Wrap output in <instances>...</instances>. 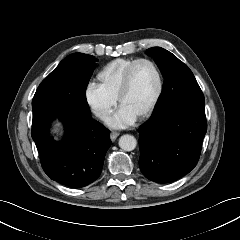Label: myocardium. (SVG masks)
I'll return each instance as SVG.
<instances>
[{
    "mask_svg": "<svg viewBox=\"0 0 240 240\" xmlns=\"http://www.w3.org/2000/svg\"><path fill=\"white\" fill-rule=\"evenodd\" d=\"M148 63L152 66V68L154 69V72L156 74L157 77V91L156 94L151 102V104L138 116V119H145L148 116H150L154 110L156 109L162 94H163V90H164V80H163V75L162 72L160 70V68L158 67V65L150 58L147 57H142V58H138L135 59L126 69L123 79H122V84H121V88L117 97L118 103L121 105L124 97L128 94L130 87H131V76L133 73L134 68L136 67V65H138L139 63Z\"/></svg>",
    "mask_w": 240,
    "mask_h": 240,
    "instance_id": "obj_1",
    "label": "myocardium"
}]
</instances>
